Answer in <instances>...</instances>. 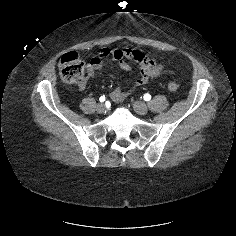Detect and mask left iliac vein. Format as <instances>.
Here are the masks:
<instances>
[{
  "instance_id": "4c4485c4",
  "label": "left iliac vein",
  "mask_w": 236,
  "mask_h": 236,
  "mask_svg": "<svg viewBox=\"0 0 236 236\" xmlns=\"http://www.w3.org/2000/svg\"><path fill=\"white\" fill-rule=\"evenodd\" d=\"M133 108H134L135 112L140 115H146L148 112V108H147L146 104H144L143 102H140V101H135L133 103Z\"/></svg>"
}]
</instances>
